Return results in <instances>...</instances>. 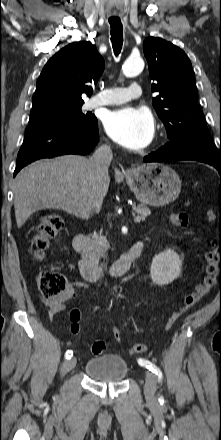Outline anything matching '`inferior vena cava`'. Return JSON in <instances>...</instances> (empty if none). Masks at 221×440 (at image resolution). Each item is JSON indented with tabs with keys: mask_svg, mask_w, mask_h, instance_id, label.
I'll return each mask as SVG.
<instances>
[{
	"mask_svg": "<svg viewBox=\"0 0 221 440\" xmlns=\"http://www.w3.org/2000/svg\"><path fill=\"white\" fill-rule=\"evenodd\" d=\"M113 158V153L108 145L98 147L89 158V166L92 172V189L90 203L98 207L101 203L104 180L108 179V168Z\"/></svg>",
	"mask_w": 221,
	"mask_h": 440,
	"instance_id": "obj_1",
	"label": "inferior vena cava"
}]
</instances>
